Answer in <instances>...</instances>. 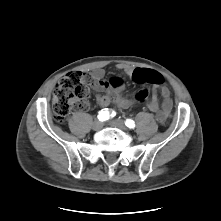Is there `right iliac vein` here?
I'll return each instance as SVG.
<instances>
[{"instance_id":"63e3f726","label":"right iliac vein","mask_w":221,"mask_h":221,"mask_svg":"<svg viewBox=\"0 0 221 221\" xmlns=\"http://www.w3.org/2000/svg\"><path fill=\"white\" fill-rule=\"evenodd\" d=\"M92 128L95 131L101 130L103 128V123L100 120H96L94 121Z\"/></svg>"}]
</instances>
